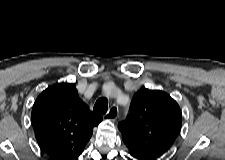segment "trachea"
<instances>
[{"label": "trachea", "mask_w": 225, "mask_h": 160, "mask_svg": "<svg viewBox=\"0 0 225 160\" xmlns=\"http://www.w3.org/2000/svg\"><path fill=\"white\" fill-rule=\"evenodd\" d=\"M108 110V100L105 97L99 98L93 108L95 113L105 114Z\"/></svg>", "instance_id": "trachea-1"}]
</instances>
